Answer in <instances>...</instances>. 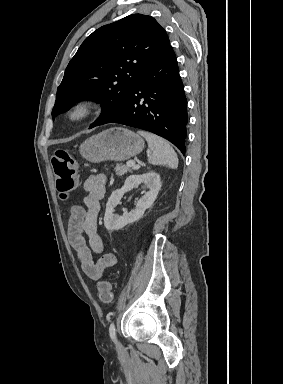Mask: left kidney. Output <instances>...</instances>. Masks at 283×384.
<instances>
[{
  "mask_svg": "<svg viewBox=\"0 0 283 384\" xmlns=\"http://www.w3.org/2000/svg\"><path fill=\"white\" fill-rule=\"evenodd\" d=\"M140 184H144L143 188H148L149 192H145L144 196L138 200L135 210L131 212H124L123 216L114 214L116 206L120 204L121 198H123L125 192L137 188ZM161 188L160 176L156 172H148V174H142V176H129L125 180L124 186L121 190H114L112 192L107 204L106 212L104 216V226L109 232L114 230H121L127 224H133L142 218L145 210H148L155 202L158 192Z\"/></svg>",
  "mask_w": 283,
  "mask_h": 384,
  "instance_id": "5707ae66",
  "label": "left kidney"
}]
</instances>
